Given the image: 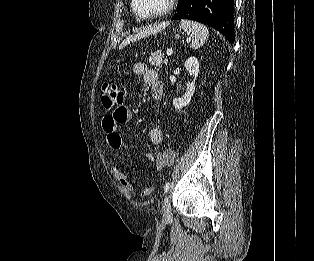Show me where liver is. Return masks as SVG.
Wrapping results in <instances>:
<instances>
[{"instance_id":"liver-1","label":"liver","mask_w":314,"mask_h":261,"mask_svg":"<svg viewBox=\"0 0 314 261\" xmlns=\"http://www.w3.org/2000/svg\"><path fill=\"white\" fill-rule=\"evenodd\" d=\"M147 34H148L147 31H143V32H141V33H139V34H136V35H132V36L127 37V38L120 44L119 49L124 48V47H125L126 45H128L130 42H133V41H136L137 39H140V38L145 37Z\"/></svg>"}]
</instances>
